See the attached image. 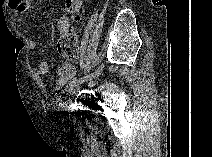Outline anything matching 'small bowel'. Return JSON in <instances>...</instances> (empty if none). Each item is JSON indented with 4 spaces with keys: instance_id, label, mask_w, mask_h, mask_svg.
<instances>
[{
    "instance_id": "obj_1",
    "label": "small bowel",
    "mask_w": 212,
    "mask_h": 157,
    "mask_svg": "<svg viewBox=\"0 0 212 157\" xmlns=\"http://www.w3.org/2000/svg\"><path fill=\"white\" fill-rule=\"evenodd\" d=\"M8 7L18 13L25 10L24 3L22 0H8ZM81 7L80 0H66L65 9L66 13L61 15L57 20V30L62 33L68 28H70V15L79 11ZM38 43L36 40H30V49H35ZM49 72V64L47 61L42 60L37 66V75L42 77ZM75 72V66L72 63L64 62L58 68V77L55 81V88L57 90H62L66 87L67 83L72 79Z\"/></svg>"
}]
</instances>
